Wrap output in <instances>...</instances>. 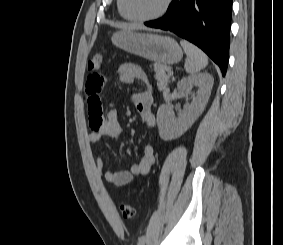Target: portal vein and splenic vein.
Returning a JSON list of instances; mask_svg holds the SVG:
<instances>
[{
  "label": "portal vein and splenic vein",
  "mask_w": 283,
  "mask_h": 245,
  "mask_svg": "<svg viewBox=\"0 0 283 245\" xmlns=\"http://www.w3.org/2000/svg\"><path fill=\"white\" fill-rule=\"evenodd\" d=\"M168 74L169 75H172L173 74V71L170 69V70H168Z\"/></svg>",
  "instance_id": "18ae733b"
}]
</instances>
